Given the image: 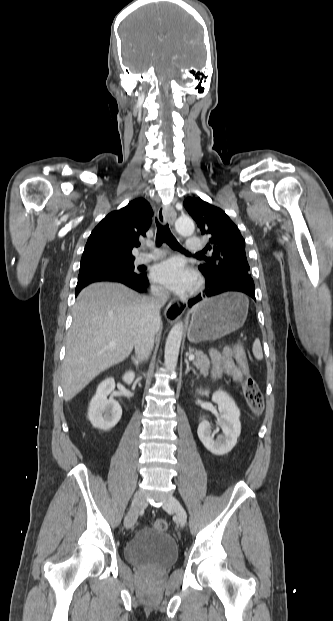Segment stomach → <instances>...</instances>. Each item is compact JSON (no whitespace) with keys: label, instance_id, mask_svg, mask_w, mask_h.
I'll use <instances>...</instances> for the list:
<instances>
[{"label":"stomach","instance_id":"0dacf381","mask_svg":"<svg viewBox=\"0 0 333 621\" xmlns=\"http://www.w3.org/2000/svg\"><path fill=\"white\" fill-rule=\"evenodd\" d=\"M248 304L242 294L224 293L197 304L192 311L188 340H218L239 329L247 318Z\"/></svg>","mask_w":333,"mask_h":621}]
</instances>
